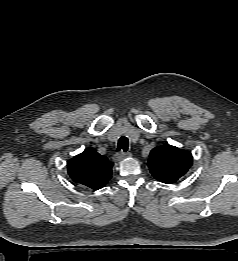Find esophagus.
I'll return each mask as SVG.
<instances>
[{"instance_id":"1","label":"esophagus","mask_w":238,"mask_h":261,"mask_svg":"<svg viewBox=\"0 0 238 261\" xmlns=\"http://www.w3.org/2000/svg\"><path fill=\"white\" fill-rule=\"evenodd\" d=\"M131 156V153L130 152H123V151H120L118 152L116 155H115V160L117 161H121L122 159H124L125 157H129Z\"/></svg>"}]
</instances>
